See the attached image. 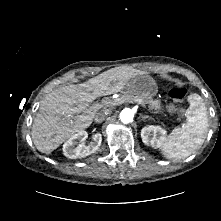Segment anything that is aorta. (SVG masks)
Instances as JSON below:
<instances>
[{"instance_id": "aorta-1", "label": "aorta", "mask_w": 221, "mask_h": 221, "mask_svg": "<svg viewBox=\"0 0 221 221\" xmlns=\"http://www.w3.org/2000/svg\"><path fill=\"white\" fill-rule=\"evenodd\" d=\"M119 118L124 124L130 123L133 121L134 112L130 108H125L120 112Z\"/></svg>"}]
</instances>
